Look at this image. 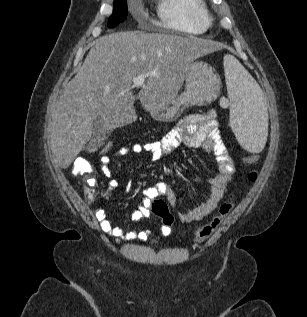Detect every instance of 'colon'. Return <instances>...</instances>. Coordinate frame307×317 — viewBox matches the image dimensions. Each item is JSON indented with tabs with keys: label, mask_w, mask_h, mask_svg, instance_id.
<instances>
[{
	"label": "colon",
	"mask_w": 307,
	"mask_h": 317,
	"mask_svg": "<svg viewBox=\"0 0 307 317\" xmlns=\"http://www.w3.org/2000/svg\"><path fill=\"white\" fill-rule=\"evenodd\" d=\"M225 103V102H224ZM121 148H118L114 143H106L100 149V154L112 156L119 152ZM260 158L258 156H247L244 158L243 162L246 165H255L259 162ZM73 174L83 179L87 186L85 188V195L88 200H93L96 196V191L93 187L94 180L92 179L93 167L91 163L85 158H79L74 162ZM258 177V172L252 170L248 174V179L251 182L256 181ZM234 207V198L231 196L228 200L223 202L219 208L217 214L206 224L198 228L194 235L195 242H202L212 236L216 230L223 223L225 218L229 215ZM152 212L162 220L164 226L171 228L174 224V217L171 214L167 203L163 199H154L151 203Z\"/></svg>",
	"instance_id": "5ec220e1"
}]
</instances>
